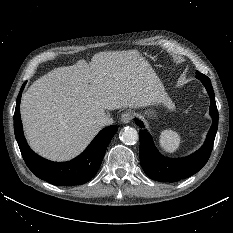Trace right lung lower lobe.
<instances>
[{
	"mask_svg": "<svg viewBox=\"0 0 233 233\" xmlns=\"http://www.w3.org/2000/svg\"><path fill=\"white\" fill-rule=\"evenodd\" d=\"M25 83L22 85L16 101L14 132L28 168L38 178L54 185L74 186L88 182L97 173L107 146L118 129L117 126H109L100 131L86 150L75 159L63 163L48 161L30 149L23 135L19 105Z\"/></svg>",
	"mask_w": 233,
	"mask_h": 233,
	"instance_id": "right-lung-lower-lobe-1",
	"label": "right lung lower lobe"
}]
</instances>
